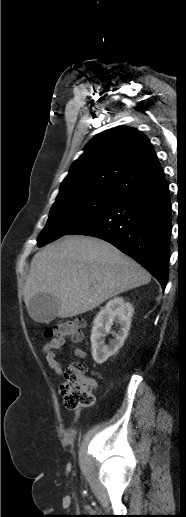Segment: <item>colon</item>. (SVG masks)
Here are the masks:
<instances>
[{"label": "colon", "mask_w": 186, "mask_h": 517, "mask_svg": "<svg viewBox=\"0 0 186 517\" xmlns=\"http://www.w3.org/2000/svg\"><path fill=\"white\" fill-rule=\"evenodd\" d=\"M82 327L83 321L80 320L63 321L48 328L45 335L80 341L84 337ZM94 387V381L85 376L82 364L72 363L68 365L60 385L64 405L70 409L91 406L94 403Z\"/></svg>", "instance_id": "colon-1"}]
</instances>
